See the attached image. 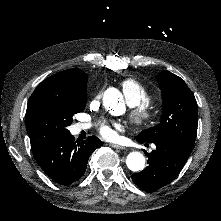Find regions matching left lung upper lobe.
Wrapping results in <instances>:
<instances>
[{
	"mask_svg": "<svg viewBox=\"0 0 221 221\" xmlns=\"http://www.w3.org/2000/svg\"><path fill=\"white\" fill-rule=\"evenodd\" d=\"M163 97L161 122L142 131L144 140L170 139L191 152L197 134V102L193 92L180 77L163 72L158 77Z\"/></svg>",
	"mask_w": 221,
	"mask_h": 221,
	"instance_id": "obj_1",
	"label": "left lung upper lobe"
}]
</instances>
